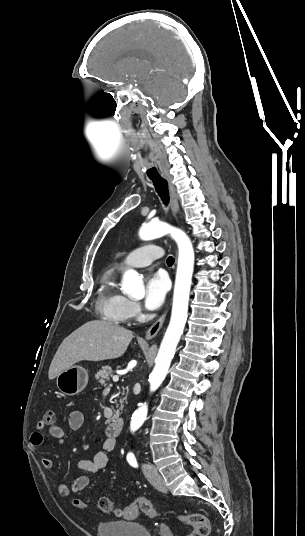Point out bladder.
Masks as SVG:
<instances>
[{
  "instance_id": "obj_1",
  "label": "bladder",
  "mask_w": 305,
  "mask_h": 536,
  "mask_svg": "<svg viewBox=\"0 0 305 536\" xmlns=\"http://www.w3.org/2000/svg\"><path fill=\"white\" fill-rule=\"evenodd\" d=\"M153 536L148 528L134 520L115 519L113 521H99L96 523L97 536Z\"/></svg>"
}]
</instances>
